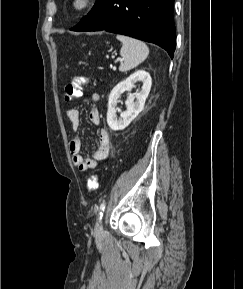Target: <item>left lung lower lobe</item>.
<instances>
[{
    "label": "left lung lower lobe",
    "mask_w": 243,
    "mask_h": 289,
    "mask_svg": "<svg viewBox=\"0 0 243 289\" xmlns=\"http://www.w3.org/2000/svg\"><path fill=\"white\" fill-rule=\"evenodd\" d=\"M174 0H97L72 31H101L131 36L165 49L173 58L176 33Z\"/></svg>",
    "instance_id": "0a47b994"
}]
</instances>
